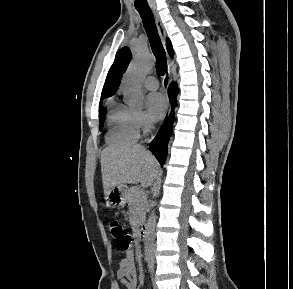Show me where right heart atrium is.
I'll use <instances>...</instances> for the list:
<instances>
[{"label": "right heart atrium", "instance_id": "d8ad5b80", "mask_svg": "<svg viewBox=\"0 0 293 289\" xmlns=\"http://www.w3.org/2000/svg\"><path fill=\"white\" fill-rule=\"evenodd\" d=\"M135 120L139 131L148 133L152 129V122L144 112L135 111Z\"/></svg>", "mask_w": 293, "mask_h": 289}]
</instances>
